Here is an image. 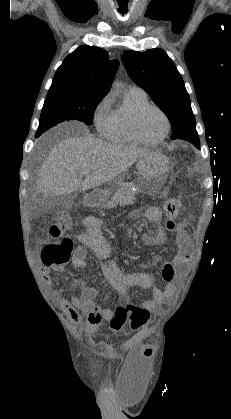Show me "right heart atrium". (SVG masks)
I'll return each instance as SVG.
<instances>
[{
  "label": "right heart atrium",
  "instance_id": "1",
  "mask_svg": "<svg viewBox=\"0 0 231 419\" xmlns=\"http://www.w3.org/2000/svg\"><path fill=\"white\" fill-rule=\"evenodd\" d=\"M93 119L100 135L110 138L115 128V114L112 110V99L109 95L104 96L97 104Z\"/></svg>",
  "mask_w": 231,
  "mask_h": 419
}]
</instances>
